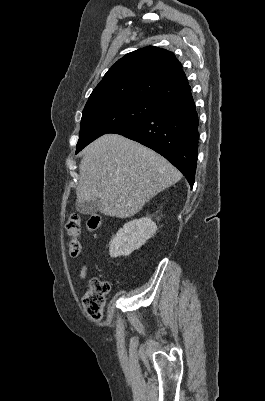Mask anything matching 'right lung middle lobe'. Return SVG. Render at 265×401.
<instances>
[{"label": "right lung middle lobe", "instance_id": "obj_1", "mask_svg": "<svg viewBox=\"0 0 265 401\" xmlns=\"http://www.w3.org/2000/svg\"><path fill=\"white\" fill-rule=\"evenodd\" d=\"M161 105L150 100L126 99L85 106L76 153L96 138L150 115Z\"/></svg>", "mask_w": 265, "mask_h": 401}]
</instances>
